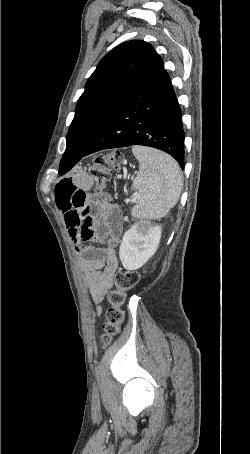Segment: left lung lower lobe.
I'll return each instance as SVG.
<instances>
[{
	"mask_svg": "<svg viewBox=\"0 0 250 454\" xmlns=\"http://www.w3.org/2000/svg\"><path fill=\"white\" fill-rule=\"evenodd\" d=\"M131 145L165 151L184 169L182 113L164 69L108 119L84 154L65 153L59 174L69 171L84 156Z\"/></svg>",
	"mask_w": 250,
	"mask_h": 454,
	"instance_id": "1",
	"label": "left lung lower lobe"
}]
</instances>
